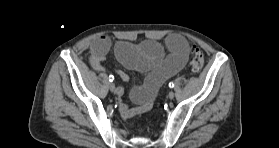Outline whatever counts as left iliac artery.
I'll use <instances>...</instances> for the list:
<instances>
[{"instance_id": "left-iliac-artery-1", "label": "left iliac artery", "mask_w": 279, "mask_h": 148, "mask_svg": "<svg viewBox=\"0 0 279 148\" xmlns=\"http://www.w3.org/2000/svg\"><path fill=\"white\" fill-rule=\"evenodd\" d=\"M174 86H175V84H174L173 82H170V83H169V87H170V88H173Z\"/></svg>"}]
</instances>
